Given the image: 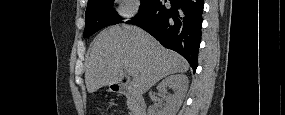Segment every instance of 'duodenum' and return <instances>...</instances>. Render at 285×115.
<instances>
[{"instance_id": "410a0bca", "label": "duodenum", "mask_w": 285, "mask_h": 115, "mask_svg": "<svg viewBox=\"0 0 285 115\" xmlns=\"http://www.w3.org/2000/svg\"><path fill=\"white\" fill-rule=\"evenodd\" d=\"M112 90L113 92L118 93L130 99L134 115L146 114V103L143 97L139 93L133 91L127 84L115 83L112 86Z\"/></svg>"}]
</instances>
